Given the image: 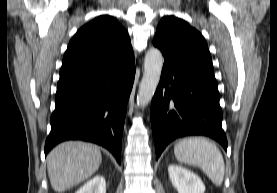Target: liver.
Returning <instances> with one entry per match:
<instances>
[{"mask_svg": "<svg viewBox=\"0 0 277 193\" xmlns=\"http://www.w3.org/2000/svg\"><path fill=\"white\" fill-rule=\"evenodd\" d=\"M102 155L99 148L81 141L63 142L47 156V171L51 186L64 192L91 177L99 168Z\"/></svg>", "mask_w": 277, "mask_h": 193, "instance_id": "1", "label": "liver"}]
</instances>
